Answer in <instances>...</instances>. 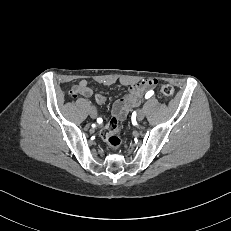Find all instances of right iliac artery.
Listing matches in <instances>:
<instances>
[{
  "label": "right iliac artery",
  "mask_w": 231,
  "mask_h": 231,
  "mask_svg": "<svg viewBox=\"0 0 231 231\" xmlns=\"http://www.w3.org/2000/svg\"><path fill=\"white\" fill-rule=\"evenodd\" d=\"M97 122H98V123H102V118H98V119H97Z\"/></svg>",
  "instance_id": "82829eb1"
}]
</instances>
